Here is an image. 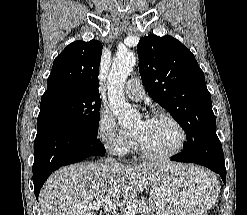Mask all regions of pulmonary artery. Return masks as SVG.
<instances>
[{"instance_id": "e3ab8cb5", "label": "pulmonary artery", "mask_w": 247, "mask_h": 215, "mask_svg": "<svg viewBox=\"0 0 247 215\" xmlns=\"http://www.w3.org/2000/svg\"><path fill=\"white\" fill-rule=\"evenodd\" d=\"M125 94L132 100L139 101L144 98L145 91L138 78H131L125 85Z\"/></svg>"}]
</instances>
